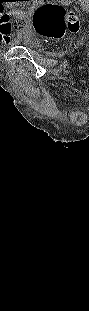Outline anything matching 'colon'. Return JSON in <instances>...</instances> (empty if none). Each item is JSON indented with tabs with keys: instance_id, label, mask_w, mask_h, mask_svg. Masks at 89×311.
<instances>
[{
	"instance_id": "5ec220e1",
	"label": "colon",
	"mask_w": 89,
	"mask_h": 311,
	"mask_svg": "<svg viewBox=\"0 0 89 311\" xmlns=\"http://www.w3.org/2000/svg\"><path fill=\"white\" fill-rule=\"evenodd\" d=\"M1 21L8 29L14 28L22 32L25 28L23 22H16L13 25L8 15H2ZM32 24L39 35L47 38H59L66 29L73 32L79 29L78 16L55 3H45L39 6L33 14Z\"/></svg>"
}]
</instances>
